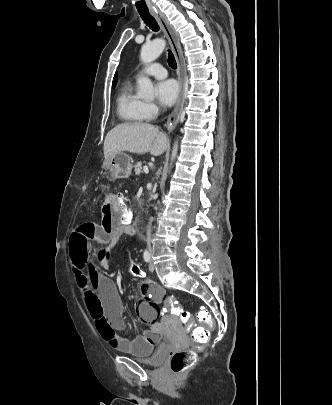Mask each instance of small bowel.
<instances>
[{
    "label": "small bowel",
    "mask_w": 332,
    "mask_h": 405,
    "mask_svg": "<svg viewBox=\"0 0 332 405\" xmlns=\"http://www.w3.org/2000/svg\"><path fill=\"white\" fill-rule=\"evenodd\" d=\"M102 174L106 177L109 173L105 170ZM118 203L119 196L108 192L102 203L100 224L83 222L71 230L69 265L78 287V297L84 299L86 315L94 320L102 339L122 352L153 353L158 344H166V335H160L157 321L162 318L158 306H162V297H167V288H160L150 280L140 286L142 297L134 302L133 308L150 329L131 340L127 339L117 332L126 327L117 287L110 278L100 273L93 256L94 242L113 246L128 233L127 225L121 222Z\"/></svg>",
    "instance_id": "obj_1"
}]
</instances>
